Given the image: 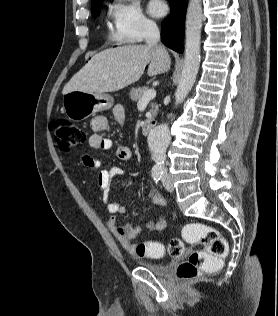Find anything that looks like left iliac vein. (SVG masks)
<instances>
[{
  "label": "left iliac vein",
  "instance_id": "obj_1",
  "mask_svg": "<svg viewBox=\"0 0 278 316\" xmlns=\"http://www.w3.org/2000/svg\"><path fill=\"white\" fill-rule=\"evenodd\" d=\"M162 182H163V185L167 191H169V192L174 191L173 184L171 183V181L166 173L162 177Z\"/></svg>",
  "mask_w": 278,
  "mask_h": 316
}]
</instances>
